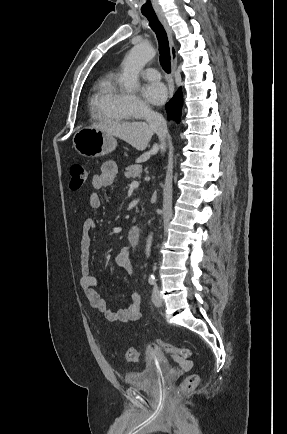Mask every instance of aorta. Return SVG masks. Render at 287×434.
<instances>
[{"label": "aorta", "mask_w": 287, "mask_h": 434, "mask_svg": "<svg viewBox=\"0 0 287 434\" xmlns=\"http://www.w3.org/2000/svg\"><path fill=\"white\" fill-rule=\"evenodd\" d=\"M155 50L146 44L135 45L123 61L122 84L126 91H133L138 85V75L144 66L153 59ZM153 234L151 233L146 242V257L149 258L152 246Z\"/></svg>", "instance_id": "762f6f07"}]
</instances>
